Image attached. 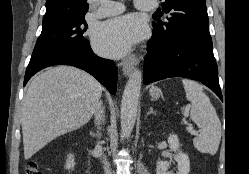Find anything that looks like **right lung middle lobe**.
I'll use <instances>...</instances> for the list:
<instances>
[{"instance_id":"1","label":"right lung middle lobe","mask_w":249,"mask_h":174,"mask_svg":"<svg viewBox=\"0 0 249 174\" xmlns=\"http://www.w3.org/2000/svg\"><path fill=\"white\" fill-rule=\"evenodd\" d=\"M87 27L85 16L43 26L33 52L56 47L89 46L84 36Z\"/></svg>"}]
</instances>
